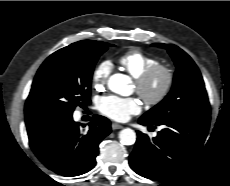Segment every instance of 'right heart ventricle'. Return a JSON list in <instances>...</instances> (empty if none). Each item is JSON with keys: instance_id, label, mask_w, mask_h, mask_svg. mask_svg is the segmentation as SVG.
<instances>
[{"instance_id": "right-heart-ventricle-1", "label": "right heart ventricle", "mask_w": 230, "mask_h": 186, "mask_svg": "<svg viewBox=\"0 0 230 186\" xmlns=\"http://www.w3.org/2000/svg\"><path fill=\"white\" fill-rule=\"evenodd\" d=\"M118 63L134 78H137L148 68L159 64V60L142 50L131 49L119 56Z\"/></svg>"}]
</instances>
